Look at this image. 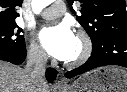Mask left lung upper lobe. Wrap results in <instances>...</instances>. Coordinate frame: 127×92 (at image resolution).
I'll use <instances>...</instances> for the list:
<instances>
[{
  "instance_id": "1",
  "label": "left lung upper lobe",
  "mask_w": 127,
  "mask_h": 92,
  "mask_svg": "<svg viewBox=\"0 0 127 92\" xmlns=\"http://www.w3.org/2000/svg\"><path fill=\"white\" fill-rule=\"evenodd\" d=\"M70 5L74 0H67ZM81 16L78 22L95 45L105 36H127V11L125 0H80ZM74 12V10L72 9ZM75 13V12H74Z\"/></svg>"
}]
</instances>
